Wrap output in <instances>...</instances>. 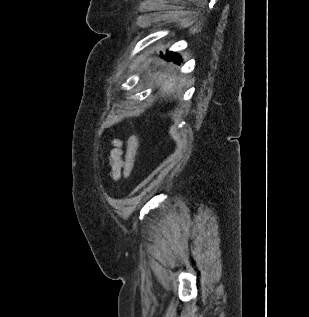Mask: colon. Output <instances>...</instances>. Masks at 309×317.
Masks as SVG:
<instances>
[{"label":"colon","instance_id":"colon-1","mask_svg":"<svg viewBox=\"0 0 309 317\" xmlns=\"http://www.w3.org/2000/svg\"><path fill=\"white\" fill-rule=\"evenodd\" d=\"M138 145H139L138 137L136 135L131 136L128 141L127 151H126L124 166H123V172L126 178L130 177L132 173L137 150H138Z\"/></svg>","mask_w":309,"mask_h":317}]
</instances>
